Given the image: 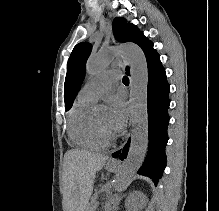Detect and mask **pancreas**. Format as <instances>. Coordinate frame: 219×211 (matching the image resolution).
Returning <instances> with one entry per match:
<instances>
[{"mask_svg": "<svg viewBox=\"0 0 219 211\" xmlns=\"http://www.w3.org/2000/svg\"><path fill=\"white\" fill-rule=\"evenodd\" d=\"M109 199L111 198L110 196L108 197ZM102 203L104 202L103 200L101 201ZM110 203L112 202H114L113 200L111 201H109ZM99 200H90V203L88 204V207H87V211H99ZM110 211H112L113 209L112 208H110L109 209Z\"/></svg>", "mask_w": 219, "mask_h": 211, "instance_id": "1", "label": "pancreas"}]
</instances>
